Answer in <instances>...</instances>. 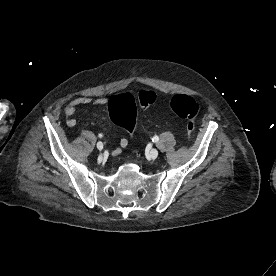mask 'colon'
<instances>
[{"label":"colon","instance_id":"5ec220e1","mask_svg":"<svg viewBox=\"0 0 276 276\" xmlns=\"http://www.w3.org/2000/svg\"><path fill=\"white\" fill-rule=\"evenodd\" d=\"M155 99V93L149 90L140 91L137 98L130 93L115 95L108 102L109 116L115 124L132 134L136 124L137 107L146 109ZM170 109L180 118L187 120V130L191 135L195 130V118L199 112L196 100L188 95L176 94L170 101Z\"/></svg>","mask_w":276,"mask_h":276}]
</instances>
